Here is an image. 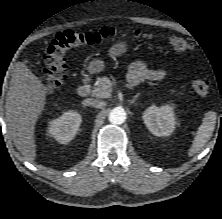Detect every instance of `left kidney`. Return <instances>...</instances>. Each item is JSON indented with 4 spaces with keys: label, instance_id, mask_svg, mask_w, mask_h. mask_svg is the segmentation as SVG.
Wrapping results in <instances>:
<instances>
[{
    "label": "left kidney",
    "instance_id": "left-kidney-1",
    "mask_svg": "<svg viewBox=\"0 0 222 219\" xmlns=\"http://www.w3.org/2000/svg\"><path fill=\"white\" fill-rule=\"evenodd\" d=\"M143 121L155 136H169L175 130V114L172 105H152L143 113Z\"/></svg>",
    "mask_w": 222,
    "mask_h": 219
}]
</instances>
